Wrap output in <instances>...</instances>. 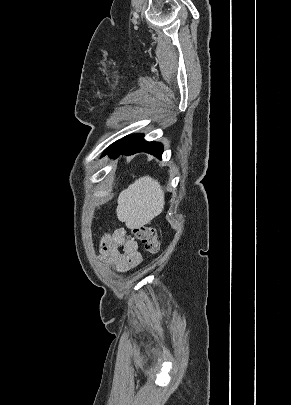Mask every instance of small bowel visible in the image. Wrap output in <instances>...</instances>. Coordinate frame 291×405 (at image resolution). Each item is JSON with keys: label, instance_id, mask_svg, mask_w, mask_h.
I'll use <instances>...</instances> for the list:
<instances>
[{"label": "small bowel", "instance_id": "c3829d8e", "mask_svg": "<svg viewBox=\"0 0 291 405\" xmlns=\"http://www.w3.org/2000/svg\"><path fill=\"white\" fill-rule=\"evenodd\" d=\"M100 259L118 272H127L142 262V255L138 243L128 238L126 230L120 228L102 238Z\"/></svg>", "mask_w": 291, "mask_h": 405}]
</instances>
